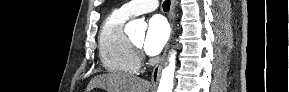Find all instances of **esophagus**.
I'll use <instances>...</instances> for the list:
<instances>
[{
  "mask_svg": "<svg viewBox=\"0 0 289 92\" xmlns=\"http://www.w3.org/2000/svg\"><path fill=\"white\" fill-rule=\"evenodd\" d=\"M174 17H175V0H171V6H170V11H169V22H170V26H171V37L170 40L172 38V34H173V27H174ZM169 42L166 45L165 51L163 53V56L161 58V60L159 61V63L154 67L153 72H152V77H151V82L153 87H157L158 82H159V78H160V73L163 67V64L165 62V58H166V53L169 47Z\"/></svg>",
  "mask_w": 289,
  "mask_h": 92,
  "instance_id": "esophagus-1",
  "label": "esophagus"
}]
</instances>
